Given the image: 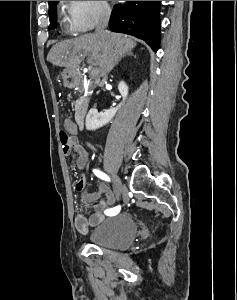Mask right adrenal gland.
<instances>
[{"instance_id": "2a0ac1e0", "label": "right adrenal gland", "mask_w": 237, "mask_h": 300, "mask_svg": "<svg viewBox=\"0 0 237 300\" xmlns=\"http://www.w3.org/2000/svg\"><path fill=\"white\" fill-rule=\"evenodd\" d=\"M127 55H132L131 51H128ZM120 59H121V57H120ZM120 59H119V61H120Z\"/></svg>"}]
</instances>
